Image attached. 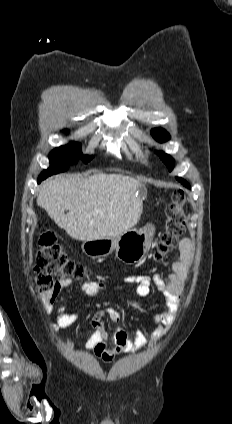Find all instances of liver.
Instances as JSON below:
<instances>
[{
  "instance_id": "obj_1",
  "label": "liver",
  "mask_w": 232,
  "mask_h": 424,
  "mask_svg": "<svg viewBox=\"0 0 232 424\" xmlns=\"http://www.w3.org/2000/svg\"><path fill=\"white\" fill-rule=\"evenodd\" d=\"M145 193L139 181L125 175H58L41 185L37 205L70 237L88 241L116 237L134 227Z\"/></svg>"
}]
</instances>
